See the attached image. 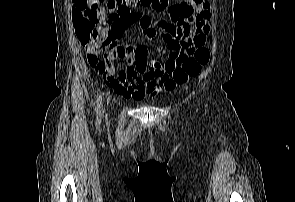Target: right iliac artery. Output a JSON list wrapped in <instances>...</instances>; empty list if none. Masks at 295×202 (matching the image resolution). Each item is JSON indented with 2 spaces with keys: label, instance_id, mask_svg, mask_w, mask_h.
Returning <instances> with one entry per match:
<instances>
[{
  "label": "right iliac artery",
  "instance_id": "obj_1",
  "mask_svg": "<svg viewBox=\"0 0 295 202\" xmlns=\"http://www.w3.org/2000/svg\"><path fill=\"white\" fill-rule=\"evenodd\" d=\"M101 111H102V98L99 96V98L96 101V114L97 117H101Z\"/></svg>",
  "mask_w": 295,
  "mask_h": 202
}]
</instances>
